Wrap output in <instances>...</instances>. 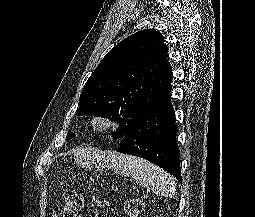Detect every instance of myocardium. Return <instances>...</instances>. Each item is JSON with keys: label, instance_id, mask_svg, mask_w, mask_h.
<instances>
[{"label": "myocardium", "instance_id": "myocardium-1", "mask_svg": "<svg viewBox=\"0 0 255 217\" xmlns=\"http://www.w3.org/2000/svg\"><path fill=\"white\" fill-rule=\"evenodd\" d=\"M87 126L91 132L103 134L113 131L117 126V120L108 113L97 112L89 116Z\"/></svg>", "mask_w": 255, "mask_h": 217}]
</instances>
